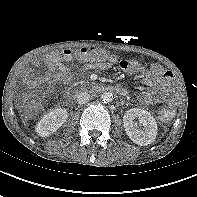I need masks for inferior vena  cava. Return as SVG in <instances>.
<instances>
[{
  "label": "inferior vena cava",
  "mask_w": 197,
  "mask_h": 197,
  "mask_svg": "<svg viewBox=\"0 0 197 197\" xmlns=\"http://www.w3.org/2000/svg\"><path fill=\"white\" fill-rule=\"evenodd\" d=\"M90 100V94L87 92H79L77 94V102L79 104H86Z\"/></svg>",
  "instance_id": "602c4592"
}]
</instances>
